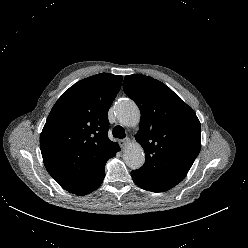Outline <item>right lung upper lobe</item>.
<instances>
[{"label": "right lung upper lobe", "instance_id": "right-lung-upper-lobe-1", "mask_svg": "<svg viewBox=\"0 0 248 248\" xmlns=\"http://www.w3.org/2000/svg\"><path fill=\"white\" fill-rule=\"evenodd\" d=\"M122 76L100 73L70 87L55 103L40 136L49 174L65 190L86 195L105 177L104 166L120 150L108 138V110Z\"/></svg>", "mask_w": 248, "mask_h": 248}]
</instances>
